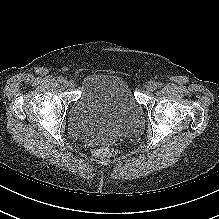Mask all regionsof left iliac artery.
Wrapping results in <instances>:
<instances>
[{
  "label": "left iliac artery",
  "instance_id": "1",
  "mask_svg": "<svg viewBox=\"0 0 219 219\" xmlns=\"http://www.w3.org/2000/svg\"><path fill=\"white\" fill-rule=\"evenodd\" d=\"M163 86L162 82L158 81L156 82V87L157 88H161Z\"/></svg>",
  "mask_w": 219,
  "mask_h": 219
}]
</instances>
